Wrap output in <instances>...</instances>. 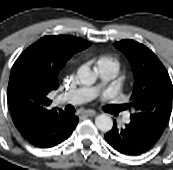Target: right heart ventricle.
I'll list each match as a JSON object with an SVG mask.
<instances>
[{
  "mask_svg": "<svg viewBox=\"0 0 173 170\" xmlns=\"http://www.w3.org/2000/svg\"><path fill=\"white\" fill-rule=\"evenodd\" d=\"M99 63L113 67L115 70H118V68H119L118 63L111 58H101L99 60Z\"/></svg>",
  "mask_w": 173,
  "mask_h": 170,
  "instance_id": "1",
  "label": "right heart ventricle"
}]
</instances>
